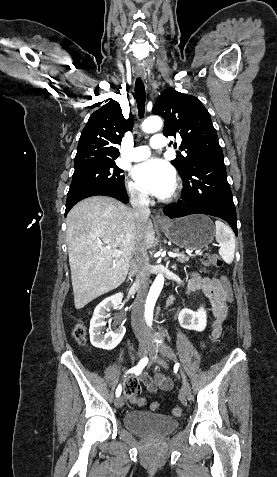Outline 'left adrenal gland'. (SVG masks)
Here are the masks:
<instances>
[{
    "label": "left adrenal gland",
    "mask_w": 277,
    "mask_h": 477,
    "mask_svg": "<svg viewBox=\"0 0 277 477\" xmlns=\"http://www.w3.org/2000/svg\"><path fill=\"white\" fill-rule=\"evenodd\" d=\"M172 268H173L174 270H177V266H176V265H173Z\"/></svg>",
    "instance_id": "a2214340"
}]
</instances>
